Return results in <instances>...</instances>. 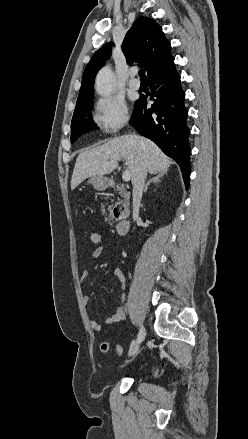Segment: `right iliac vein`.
<instances>
[{"label": "right iliac vein", "instance_id": "right-iliac-vein-1", "mask_svg": "<svg viewBox=\"0 0 248 439\" xmlns=\"http://www.w3.org/2000/svg\"><path fill=\"white\" fill-rule=\"evenodd\" d=\"M141 342H142V341L139 340V339L137 338L136 342L133 343V344L130 346V349H129V352H128V355H129V356H133V355H135V354L137 353V351H138V349H139V345H140Z\"/></svg>", "mask_w": 248, "mask_h": 439}]
</instances>
